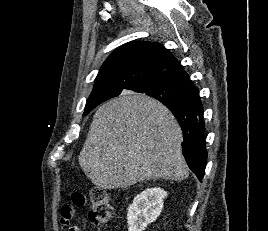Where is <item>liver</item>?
Here are the masks:
<instances>
[{"label": "liver", "mask_w": 268, "mask_h": 231, "mask_svg": "<svg viewBox=\"0 0 268 231\" xmlns=\"http://www.w3.org/2000/svg\"><path fill=\"white\" fill-rule=\"evenodd\" d=\"M182 141L181 128L167 107L126 91L94 114L79 164L102 189L159 178L180 181L189 175Z\"/></svg>", "instance_id": "1"}]
</instances>
